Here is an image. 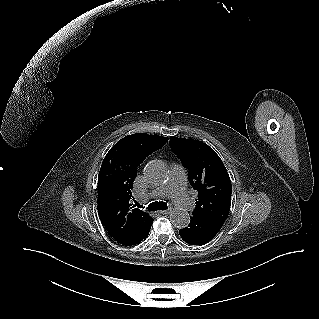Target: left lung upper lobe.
I'll list each match as a JSON object with an SVG mask.
<instances>
[{"mask_svg":"<svg viewBox=\"0 0 319 319\" xmlns=\"http://www.w3.org/2000/svg\"><path fill=\"white\" fill-rule=\"evenodd\" d=\"M170 146L188 169L190 184L198 191L192 215L226 220L231 206L232 185L220 157L201 141L170 137Z\"/></svg>","mask_w":319,"mask_h":319,"instance_id":"left-lung-upper-lobe-1","label":"left lung upper lobe"}]
</instances>
